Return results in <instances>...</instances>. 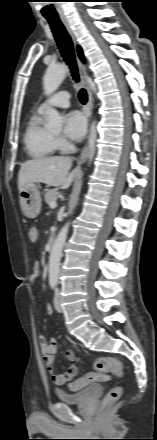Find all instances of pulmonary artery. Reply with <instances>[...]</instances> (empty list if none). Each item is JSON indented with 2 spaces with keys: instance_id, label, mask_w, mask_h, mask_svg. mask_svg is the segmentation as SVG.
I'll list each match as a JSON object with an SVG mask.
<instances>
[{
  "instance_id": "pulmonary-artery-1",
  "label": "pulmonary artery",
  "mask_w": 157,
  "mask_h": 440,
  "mask_svg": "<svg viewBox=\"0 0 157 440\" xmlns=\"http://www.w3.org/2000/svg\"><path fill=\"white\" fill-rule=\"evenodd\" d=\"M70 106V95L66 91H61L53 95L50 99L44 101L39 109L44 111L49 107L68 108Z\"/></svg>"
}]
</instances>
